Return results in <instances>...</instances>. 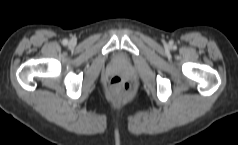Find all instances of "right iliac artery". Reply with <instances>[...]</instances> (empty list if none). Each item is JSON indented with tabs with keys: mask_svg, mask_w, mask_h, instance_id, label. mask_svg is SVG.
Listing matches in <instances>:
<instances>
[{
	"mask_svg": "<svg viewBox=\"0 0 238 145\" xmlns=\"http://www.w3.org/2000/svg\"><path fill=\"white\" fill-rule=\"evenodd\" d=\"M62 43H63V45H67L68 40H67V39H64V40L62 41Z\"/></svg>",
	"mask_w": 238,
	"mask_h": 145,
	"instance_id": "obj_1",
	"label": "right iliac artery"
}]
</instances>
